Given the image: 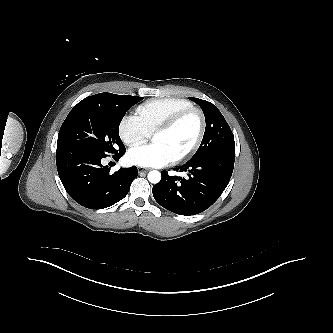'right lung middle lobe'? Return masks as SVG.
<instances>
[{
    "label": "right lung middle lobe",
    "instance_id": "obj_1",
    "mask_svg": "<svg viewBox=\"0 0 333 333\" xmlns=\"http://www.w3.org/2000/svg\"><path fill=\"white\" fill-rule=\"evenodd\" d=\"M142 99L112 93L83 99L63 122L57 149H82L103 157L124 152L125 146L118 133L120 122L126 112Z\"/></svg>",
    "mask_w": 333,
    "mask_h": 333
}]
</instances>
